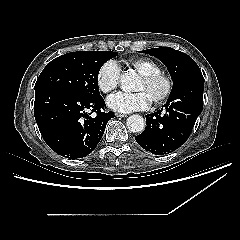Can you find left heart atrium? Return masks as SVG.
<instances>
[{
  "instance_id": "left-heart-atrium-1",
  "label": "left heart atrium",
  "mask_w": 240,
  "mask_h": 240,
  "mask_svg": "<svg viewBox=\"0 0 240 240\" xmlns=\"http://www.w3.org/2000/svg\"><path fill=\"white\" fill-rule=\"evenodd\" d=\"M150 100L143 91L116 92L107 99L108 106L121 113L144 110L149 107Z\"/></svg>"
}]
</instances>
